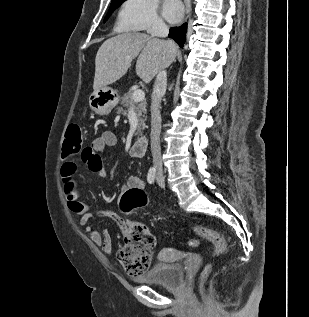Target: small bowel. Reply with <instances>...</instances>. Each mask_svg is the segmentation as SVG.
I'll return each instance as SVG.
<instances>
[{
  "instance_id": "1",
  "label": "small bowel",
  "mask_w": 309,
  "mask_h": 317,
  "mask_svg": "<svg viewBox=\"0 0 309 317\" xmlns=\"http://www.w3.org/2000/svg\"><path fill=\"white\" fill-rule=\"evenodd\" d=\"M117 144V137L112 131H104L101 136L96 138L91 146L87 147L81 155L82 161L87 165L89 171L100 177L106 178L107 172L103 165L100 155L107 147H113ZM77 165L72 160H67L62 164L61 176L64 186V196L67 201L69 210L79 216L78 223L83 227L84 233L87 234L92 242L101 247L102 251L112 256V239L106 228L102 231L95 229L91 221L93 214L90 212L89 205L81 199V190L76 179ZM144 182L137 176L130 177L122 187V195L131 189L144 190ZM100 215L112 219L121 232L124 234L128 229V223L117 212L104 210Z\"/></svg>"
}]
</instances>
